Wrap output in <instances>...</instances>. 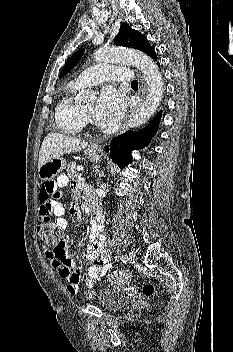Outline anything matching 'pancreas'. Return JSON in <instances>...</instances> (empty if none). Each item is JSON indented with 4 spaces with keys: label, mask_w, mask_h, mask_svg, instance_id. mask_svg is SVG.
<instances>
[{
    "label": "pancreas",
    "mask_w": 233,
    "mask_h": 352,
    "mask_svg": "<svg viewBox=\"0 0 233 352\" xmlns=\"http://www.w3.org/2000/svg\"><path fill=\"white\" fill-rule=\"evenodd\" d=\"M67 174L71 179L80 180L81 174L77 172L76 162L69 163L67 166Z\"/></svg>",
    "instance_id": "cf45deb5"
}]
</instances>
